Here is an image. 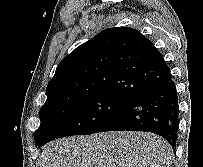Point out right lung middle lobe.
<instances>
[{
    "label": "right lung middle lobe",
    "instance_id": "dd1d6c3e",
    "mask_svg": "<svg viewBox=\"0 0 203 167\" xmlns=\"http://www.w3.org/2000/svg\"><path fill=\"white\" fill-rule=\"evenodd\" d=\"M129 102L115 95L94 94L40 110L35 142L41 147L57 138L92 134Z\"/></svg>",
    "mask_w": 203,
    "mask_h": 167
}]
</instances>
